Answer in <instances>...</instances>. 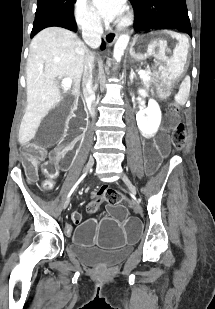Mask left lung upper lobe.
Instances as JSON below:
<instances>
[{"label":"left lung upper lobe","instance_id":"obj_1","mask_svg":"<svg viewBox=\"0 0 215 309\" xmlns=\"http://www.w3.org/2000/svg\"><path fill=\"white\" fill-rule=\"evenodd\" d=\"M134 7V32L152 28L178 29L192 37L185 0H131Z\"/></svg>","mask_w":215,"mask_h":309}]
</instances>
